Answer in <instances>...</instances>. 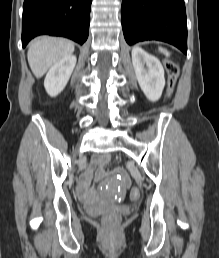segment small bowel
I'll return each mask as SVG.
<instances>
[{"mask_svg":"<svg viewBox=\"0 0 219 258\" xmlns=\"http://www.w3.org/2000/svg\"><path fill=\"white\" fill-rule=\"evenodd\" d=\"M108 159H109L108 155L97 156L93 159L92 167L96 169L97 180H102L104 178L103 167L106 164V162L108 161ZM116 171L118 172L119 176H122V179L124 180L123 181L124 184H132L133 183L132 179H127V177H126L127 172L123 171L122 167H117ZM80 193L84 199H88L89 201L93 198L94 191L89 186V173L86 174L84 180L81 182Z\"/></svg>","mask_w":219,"mask_h":258,"instance_id":"1","label":"small bowel"}]
</instances>
